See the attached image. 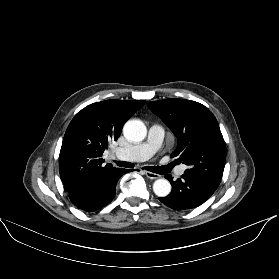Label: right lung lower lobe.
I'll return each instance as SVG.
<instances>
[{
	"label": "right lung lower lobe",
	"mask_w": 279,
	"mask_h": 279,
	"mask_svg": "<svg viewBox=\"0 0 279 279\" xmlns=\"http://www.w3.org/2000/svg\"><path fill=\"white\" fill-rule=\"evenodd\" d=\"M129 171V169H119L82 190L69 193V198L79 209L96 211L112 201L118 179Z\"/></svg>",
	"instance_id": "98d812e1"
}]
</instances>
